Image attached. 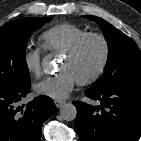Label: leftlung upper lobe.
Returning a JSON list of instances; mask_svg holds the SVG:
<instances>
[{"label": "left lung upper lobe", "instance_id": "obj_1", "mask_svg": "<svg viewBox=\"0 0 141 141\" xmlns=\"http://www.w3.org/2000/svg\"><path fill=\"white\" fill-rule=\"evenodd\" d=\"M98 23L108 43L103 75L89 88L100 90L116 84H141V52L136 43L102 18L85 15Z\"/></svg>", "mask_w": 141, "mask_h": 141}]
</instances>
